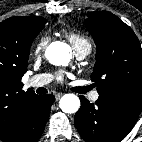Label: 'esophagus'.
<instances>
[{"label":"esophagus","instance_id":"esophagus-1","mask_svg":"<svg viewBox=\"0 0 142 142\" xmlns=\"http://www.w3.org/2000/svg\"><path fill=\"white\" fill-rule=\"evenodd\" d=\"M62 95H63L62 93L55 94L56 101H58L61 98Z\"/></svg>","mask_w":142,"mask_h":142}]
</instances>
